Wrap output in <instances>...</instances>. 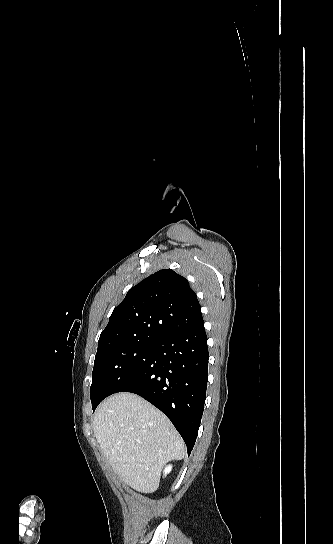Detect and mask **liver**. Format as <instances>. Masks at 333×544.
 Wrapping results in <instances>:
<instances>
[{"mask_svg": "<svg viewBox=\"0 0 333 544\" xmlns=\"http://www.w3.org/2000/svg\"><path fill=\"white\" fill-rule=\"evenodd\" d=\"M94 435L112 469L130 487L153 493L162 467L184 458V443L169 419L143 398L118 393L94 414Z\"/></svg>", "mask_w": 333, "mask_h": 544, "instance_id": "1", "label": "liver"}]
</instances>
